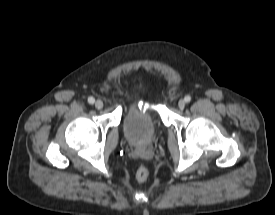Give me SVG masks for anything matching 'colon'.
<instances>
[{
  "mask_svg": "<svg viewBox=\"0 0 275 215\" xmlns=\"http://www.w3.org/2000/svg\"><path fill=\"white\" fill-rule=\"evenodd\" d=\"M135 176L138 181L144 182L149 177V170L145 166H140L137 168Z\"/></svg>",
  "mask_w": 275,
  "mask_h": 215,
  "instance_id": "obj_1",
  "label": "colon"
}]
</instances>
